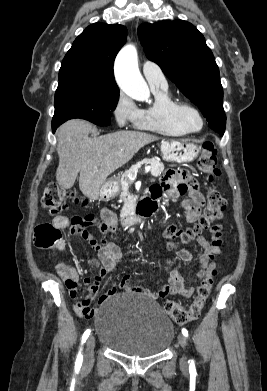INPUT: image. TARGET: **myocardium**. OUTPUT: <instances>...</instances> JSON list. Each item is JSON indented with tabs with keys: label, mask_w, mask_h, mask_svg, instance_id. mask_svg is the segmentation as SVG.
<instances>
[{
	"label": "myocardium",
	"mask_w": 267,
	"mask_h": 391,
	"mask_svg": "<svg viewBox=\"0 0 267 391\" xmlns=\"http://www.w3.org/2000/svg\"><path fill=\"white\" fill-rule=\"evenodd\" d=\"M188 111L193 112L199 118L200 126L198 128H192L188 124V122L186 121L185 114ZM174 115H175L176 119L178 120V122L188 132L197 133V132L201 131L204 128L205 119H204V116H203L202 112L200 111V109L197 106H195L194 104H192L190 102H187V101L176 102V104L174 106Z\"/></svg>",
	"instance_id": "f54148a6"
}]
</instances>
